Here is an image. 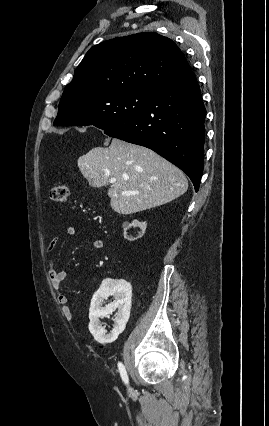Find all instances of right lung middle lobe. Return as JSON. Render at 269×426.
Listing matches in <instances>:
<instances>
[{
    "mask_svg": "<svg viewBox=\"0 0 269 426\" xmlns=\"http://www.w3.org/2000/svg\"><path fill=\"white\" fill-rule=\"evenodd\" d=\"M151 92L129 90L91 98L62 97L54 125H94L102 130L131 120L147 106Z\"/></svg>",
    "mask_w": 269,
    "mask_h": 426,
    "instance_id": "1",
    "label": "right lung middle lobe"
}]
</instances>
